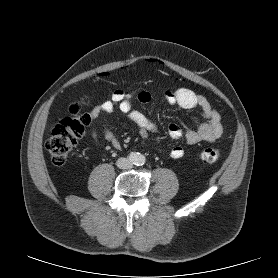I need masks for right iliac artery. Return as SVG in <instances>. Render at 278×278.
<instances>
[{"label": "right iliac artery", "mask_w": 278, "mask_h": 278, "mask_svg": "<svg viewBox=\"0 0 278 278\" xmlns=\"http://www.w3.org/2000/svg\"><path fill=\"white\" fill-rule=\"evenodd\" d=\"M137 159H138V156H137L136 153H131V154H130L129 160H130L131 162H136Z\"/></svg>", "instance_id": "right-iliac-artery-1"}]
</instances>
